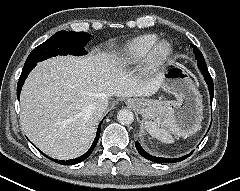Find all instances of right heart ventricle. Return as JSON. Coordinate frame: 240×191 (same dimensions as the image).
Masks as SVG:
<instances>
[{
  "label": "right heart ventricle",
  "instance_id": "1",
  "mask_svg": "<svg viewBox=\"0 0 240 191\" xmlns=\"http://www.w3.org/2000/svg\"><path fill=\"white\" fill-rule=\"evenodd\" d=\"M159 39L157 34H143L128 41L122 48L120 59L123 63L134 64L142 60L152 45Z\"/></svg>",
  "mask_w": 240,
  "mask_h": 191
}]
</instances>
